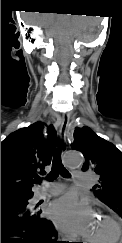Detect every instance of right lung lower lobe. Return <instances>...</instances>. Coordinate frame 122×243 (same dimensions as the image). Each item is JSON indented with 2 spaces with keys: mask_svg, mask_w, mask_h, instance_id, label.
<instances>
[{
  "mask_svg": "<svg viewBox=\"0 0 122 243\" xmlns=\"http://www.w3.org/2000/svg\"><path fill=\"white\" fill-rule=\"evenodd\" d=\"M32 196L1 201V243H54L51 237L58 234L52 222L28 206Z\"/></svg>",
  "mask_w": 122,
  "mask_h": 243,
  "instance_id": "98d812e1",
  "label": "right lung lower lobe"
}]
</instances>
